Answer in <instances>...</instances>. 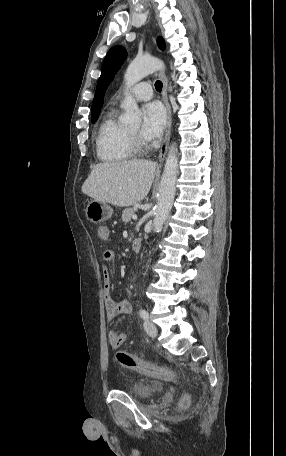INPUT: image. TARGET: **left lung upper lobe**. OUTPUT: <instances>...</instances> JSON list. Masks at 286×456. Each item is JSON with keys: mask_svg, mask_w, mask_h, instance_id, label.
I'll return each instance as SVG.
<instances>
[{"mask_svg": "<svg viewBox=\"0 0 286 456\" xmlns=\"http://www.w3.org/2000/svg\"><path fill=\"white\" fill-rule=\"evenodd\" d=\"M158 45L161 49L164 48V41L161 38L158 39ZM126 56V50L122 46H114L109 50L103 61L101 76L98 80L95 97L92 102L91 121L93 123L100 114L104 92L117 70L123 64Z\"/></svg>", "mask_w": 286, "mask_h": 456, "instance_id": "5c2ea615", "label": "left lung upper lobe"}]
</instances>
